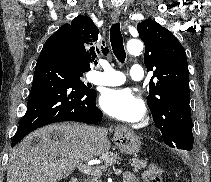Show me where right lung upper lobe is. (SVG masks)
<instances>
[{
	"label": "right lung upper lobe",
	"instance_id": "right-lung-upper-lobe-1",
	"mask_svg": "<svg viewBox=\"0 0 211 182\" xmlns=\"http://www.w3.org/2000/svg\"><path fill=\"white\" fill-rule=\"evenodd\" d=\"M57 32H62L72 40L79 68L89 71L90 64L96 57L94 43L98 40L99 33L91 18L80 15L70 24L63 25ZM107 53L108 49L104 48V54Z\"/></svg>",
	"mask_w": 211,
	"mask_h": 182
}]
</instances>
